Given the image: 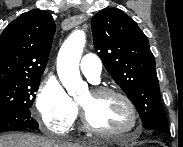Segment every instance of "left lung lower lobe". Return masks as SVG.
<instances>
[{"label":"left lung lower lobe","mask_w":183,"mask_h":147,"mask_svg":"<svg viewBox=\"0 0 183 147\" xmlns=\"http://www.w3.org/2000/svg\"><path fill=\"white\" fill-rule=\"evenodd\" d=\"M150 132L153 134H156V135H160L164 138H168L170 136V133H165V132H161V131L150 130Z\"/></svg>","instance_id":"1"}]
</instances>
